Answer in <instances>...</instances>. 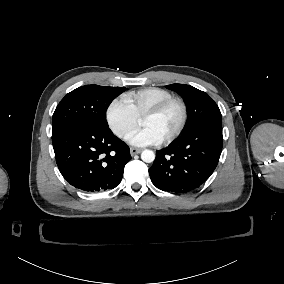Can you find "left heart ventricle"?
<instances>
[{
  "label": "left heart ventricle",
  "mask_w": 284,
  "mask_h": 284,
  "mask_svg": "<svg viewBox=\"0 0 284 284\" xmlns=\"http://www.w3.org/2000/svg\"><path fill=\"white\" fill-rule=\"evenodd\" d=\"M179 118L180 108L174 105L157 117L142 118L141 125L150 128L160 140H163L176 128Z\"/></svg>",
  "instance_id": "1"
}]
</instances>
